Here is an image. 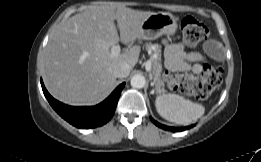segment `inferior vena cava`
I'll use <instances>...</instances> for the list:
<instances>
[{"label": "inferior vena cava", "instance_id": "602c4592", "mask_svg": "<svg viewBox=\"0 0 261 162\" xmlns=\"http://www.w3.org/2000/svg\"><path fill=\"white\" fill-rule=\"evenodd\" d=\"M130 73V66L126 63L116 66L113 70V74L117 78L127 77Z\"/></svg>", "mask_w": 261, "mask_h": 162}]
</instances>
